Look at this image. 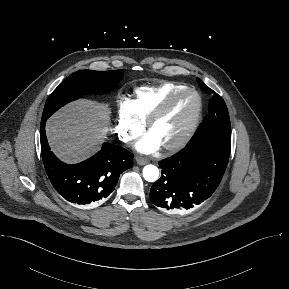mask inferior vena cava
<instances>
[{
	"mask_svg": "<svg viewBox=\"0 0 289 289\" xmlns=\"http://www.w3.org/2000/svg\"><path fill=\"white\" fill-rule=\"evenodd\" d=\"M121 140H122L123 142H127V139H126V138H121Z\"/></svg>",
	"mask_w": 289,
	"mask_h": 289,
	"instance_id": "obj_1",
	"label": "inferior vena cava"
}]
</instances>
